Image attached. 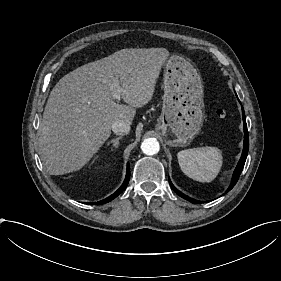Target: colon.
I'll return each mask as SVG.
<instances>
[{
    "mask_svg": "<svg viewBox=\"0 0 281 281\" xmlns=\"http://www.w3.org/2000/svg\"><path fill=\"white\" fill-rule=\"evenodd\" d=\"M230 116L229 108L225 103H219L214 111V117L218 121H226Z\"/></svg>",
    "mask_w": 281,
    "mask_h": 281,
    "instance_id": "1",
    "label": "colon"
}]
</instances>
